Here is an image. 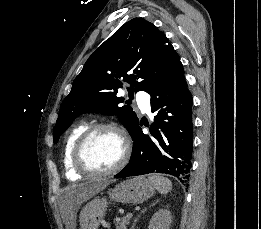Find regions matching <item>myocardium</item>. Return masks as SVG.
Listing matches in <instances>:
<instances>
[{"instance_id":"f54148a6","label":"myocardium","mask_w":261,"mask_h":229,"mask_svg":"<svg viewBox=\"0 0 261 229\" xmlns=\"http://www.w3.org/2000/svg\"><path fill=\"white\" fill-rule=\"evenodd\" d=\"M102 130H108L118 134L123 145V152L119 162L115 166L107 170H99L93 168L88 164L85 157L86 147L90 142L91 138L96 133ZM130 154H131V143L125 130L115 124L101 123L88 127L77 139L73 147L72 163L74 167L82 174H86L90 176H108L124 168L129 161Z\"/></svg>"}]
</instances>
